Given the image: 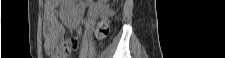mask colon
I'll use <instances>...</instances> for the list:
<instances>
[{
    "mask_svg": "<svg viewBox=\"0 0 225 58\" xmlns=\"http://www.w3.org/2000/svg\"><path fill=\"white\" fill-rule=\"evenodd\" d=\"M108 34V22L106 19H102L96 28V38L103 39ZM78 47V41L76 39H71L64 47V56L73 53Z\"/></svg>",
    "mask_w": 225,
    "mask_h": 58,
    "instance_id": "colon-1",
    "label": "colon"
}]
</instances>
